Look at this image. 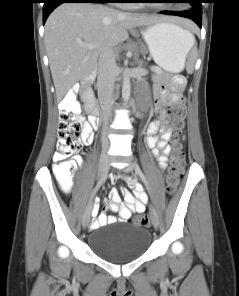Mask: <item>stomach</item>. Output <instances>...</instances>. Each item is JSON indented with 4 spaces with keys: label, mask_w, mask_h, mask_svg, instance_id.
<instances>
[{
    "label": "stomach",
    "mask_w": 239,
    "mask_h": 296,
    "mask_svg": "<svg viewBox=\"0 0 239 296\" xmlns=\"http://www.w3.org/2000/svg\"><path fill=\"white\" fill-rule=\"evenodd\" d=\"M141 33L159 67L170 73L183 70L186 55L192 46L189 31L173 23L157 22Z\"/></svg>",
    "instance_id": "1"
}]
</instances>
